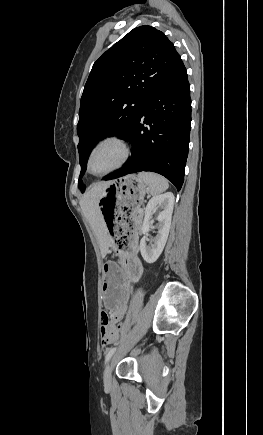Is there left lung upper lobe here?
<instances>
[{
	"mask_svg": "<svg viewBox=\"0 0 263 435\" xmlns=\"http://www.w3.org/2000/svg\"><path fill=\"white\" fill-rule=\"evenodd\" d=\"M180 61L164 33L144 25L131 30L94 63L81 97L77 125L80 177L99 140L108 135L128 138L148 98ZM78 187L85 191L80 179Z\"/></svg>",
	"mask_w": 263,
	"mask_h": 435,
	"instance_id": "obj_1",
	"label": "left lung upper lobe"
}]
</instances>
